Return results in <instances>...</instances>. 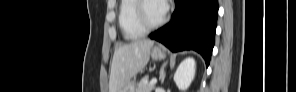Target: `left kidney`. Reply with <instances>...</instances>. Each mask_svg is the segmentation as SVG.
<instances>
[{
	"label": "left kidney",
	"instance_id": "1",
	"mask_svg": "<svg viewBox=\"0 0 296 92\" xmlns=\"http://www.w3.org/2000/svg\"><path fill=\"white\" fill-rule=\"evenodd\" d=\"M196 63L193 57H187L178 66L174 81L177 87L181 90L187 89L195 76Z\"/></svg>",
	"mask_w": 296,
	"mask_h": 92
}]
</instances>
